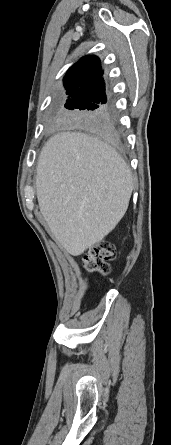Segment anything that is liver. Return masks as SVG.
<instances>
[{"instance_id": "liver-1", "label": "liver", "mask_w": 171, "mask_h": 445, "mask_svg": "<svg viewBox=\"0 0 171 445\" xmlns=\"http://www.w3.org/2000/svg\"><path fill=\"white\" fill-rule=\"evenodd\" d=\"M133 189L123 158L88 134L57 133L41 151L36 173L40 212L71 255L83 254L116 227Z\"/></svg>"}]
</instances>
